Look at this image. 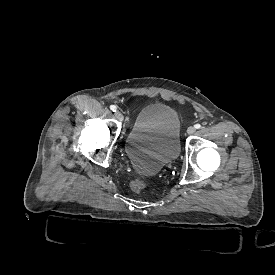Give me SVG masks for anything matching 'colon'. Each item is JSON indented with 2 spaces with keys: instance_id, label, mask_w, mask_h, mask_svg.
Returning <instances> with one entry per match:
<instances>
[{
  "instance_id": "5ec220e1",
  "label": "colon",
  "mask_w": 275,
  "mask_h": 275,
  "mask_svg": "<svg viewBox=\"0 0 275 275\" xmlns=\"http://www.w3.org/2000/svg\"><path fill=\"white\" fill-rule=\"evenodd\" d=\"M184 116H187V113H184ZM180 117H183V114H180ZM146 185H147V182L144 179L138 178V179H134L131 182L130 188L133 192L139 193L146 187Z\"/></svg>"
}]
</instances>
